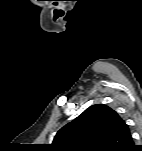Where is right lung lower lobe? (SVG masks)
<instances>
[{
	"label": "right lung lower lobe",
	"instance_id": "98d812e1",
	"mask_svg": "<svg viewBox=\"0 0 142 151\" xmlns=\"http://www.w3.org/2000/svg\"><path fill=\"white\" fill-rule=\"evenodd\" d=\"M134 148H132V149H130L131 151H134V150H140V151H142V147L140 146V147H137L136 148V146H133Z\"/></svg>",
	"mask_w": 142,
	"mask_h": 151
}]
</instances>
